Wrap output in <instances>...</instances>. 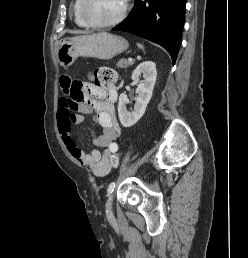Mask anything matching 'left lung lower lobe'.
<instances>
[{"instance_id":"1","label":"left lung lower lobe","mask_w":248,"mask_h":258,"mask_svg":"<svg viewBox=\"0 0 248 258\" xmlns=\"http://www.w3.org/2000/svg\"><path fill=\"white\" fill-rule=\"evenodd\" d=\"M186 0H135L128 17L114 31H124L161 45L173 64L181 44Z\"/></svg>"}]
</instances>
